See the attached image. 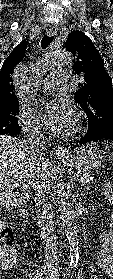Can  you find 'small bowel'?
<instances>
[{
    "instance_id": "1",
    "label": "small bowel",
    "mask_w": 113,
    "mask_h": 279,
    "mask_svg": "<svg viewBox=\"0 0 113 279\" xmlns=\"http://www.w3.org/2000/svg\"><path fill=\"white\" fill-rule=\"evenodd\" d=\"M109 202L113 206V194L109 195ZM99 248L97 266L113 279V217L107 230L99 237Z\"/></svg>"
}]
</instances>
